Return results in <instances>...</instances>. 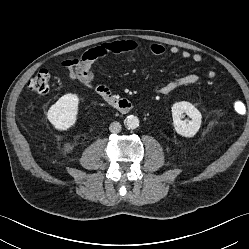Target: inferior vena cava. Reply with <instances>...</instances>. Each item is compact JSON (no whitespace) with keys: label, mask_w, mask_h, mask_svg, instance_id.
Returning <instances> with one entry per match:
<instances>
[{"label":"inferior vena cava","mask_w":249,"mask_h":249,"mask_svg":"<svg viewBox=\"0 0 249 249\" xmlns=\"http://www.w3.org/2000/svg\"><path fill=\"white\" fill-rule=\"evenodd\" d=\"M122 129V126L119 122L117 121H114L110 124L109 126V130L112 132V133H119Z\"/></svg>","instance_id":"1"}]
</instances>
